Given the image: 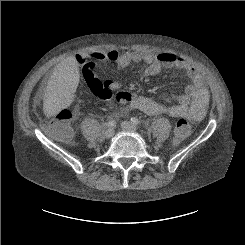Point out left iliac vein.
Here are the masks:
<instances>
[{
    "instance_id": "4c4485c4",
    "label": "left iliac vein",
    "mask_w": 245,
    "mask_h": 245,
    "mask_svg": "<svg viewBox=\"0 0 245 245\" xmlns=\"http://www.w3.org/2000/svg\"><path fill=\"white\" fill-rule=\"evenodd\" d=\"M121 127L124 131H129V132H136L137 131V127L129 121H123L121 123Z\"/></svg>"
}]
</instances>
